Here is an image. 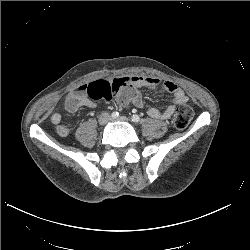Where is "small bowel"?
<instances>
[{"instance_id":"small-bowel-1","label":"small bowel","mask_w":250,"mask_h":250,"mask_svg":"<svg viewBox=\"0 0 250 250\" xmlns=\"http://www.w3.org/2000/svg\"><path fill=\"white\" fill-rule=\"evenodd\" d=\"M112 83L117 92L115 98L120 106H122V93L124 91L130 92L129 103L134 104L136 107H143V101L140 93L141 88H162L173 95L172 104L164 110L152 107L149 108L147 113L153 119L166 120L172 117L176 106L184 104L188 101L185 92L175 83L171 81H161L157 78L146 76H122L108 80ZM87 85H81L78 89L71 94L65 101L64 109L68 112H75L80 107L95 108L96 103L88 98L86 92ZM51 122L56 127L57 133L61 137H66L72 131L73 125L71 122H64L59 113H54L51 116Z\"/></svg>"}]
</instances>
